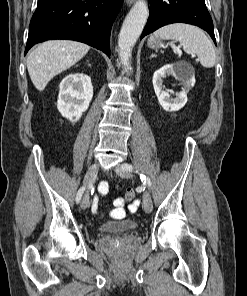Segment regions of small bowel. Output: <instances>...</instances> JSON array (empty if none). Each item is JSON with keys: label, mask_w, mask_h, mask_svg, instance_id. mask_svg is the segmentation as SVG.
<instances>
[{"label": "small bowel", "mask_w": 247, "mask_h": 296, "mask_svg": "<svg viewBox=\"0 0 247 296\" xmlns=\"http://www.w3.org/2000/svg\"><path fill=\"white\" fill-rule=\"evenodd\" d=\"M109 191V185L107 182H101L100 185H99V188H98V193L94 196L93 198V202H92V211L94 213H98L99 211V196L101 195H105L107 194ZM117 199H121V198H117ZM114 201V205H115V208L112 210L111 212V216L114 217V214L118 211H121L123 212V209H122V206L123 205H118L116 204V200ZM139 206V201H135L131 206H130V209L131 210H135L137 209Z\"/></svg>", "instance_id": "small-bowel-1"}]
</instances>
